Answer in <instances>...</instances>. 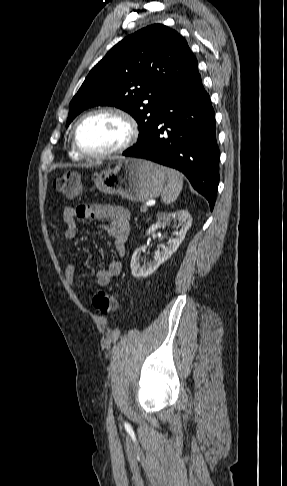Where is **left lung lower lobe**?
<instances>
[{
	"label": "left lung lower lobe",
	"instance_id": "obj_1",
	"mask_svg": "<svg viewBox=\"0 0 287 486\" xmlns=\"http://www.w3.org/2000/svg\"><path fill=\"white\" fill-rule=\"evenodd\" d=\"M215 131V113L197 67L170 91L159 118L141 142L123 155L181 171L212 210L219 183Z\"/></svg>",
	"mask_w": 287,
	"mask_h": 486
}]
</instances>
